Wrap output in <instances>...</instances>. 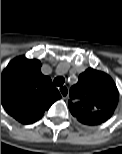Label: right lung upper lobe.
Returning <instances> with one entry per match:
<instances>
[{"label": "right lung upper lobe", "instance_id": "1", "mask_svg": "<svg viewBox=\"0 0 122 154\" xmlns=\"http://www.w3.org/2000/svg\"><path fill=\"white\" fill-rule=\"evenodd\" d=\"M37 59L20 56L1 74V103L6 112L23 124L40 119L61 95L41 71Z\"/></svg>", "mask_w": 122, "mask_h": 154}]
</instances>
